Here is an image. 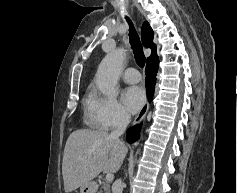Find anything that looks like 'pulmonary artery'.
I'll return each mask as SVG.
<instances>
[{"label":"pulmonary artery","instance_id":"e3ab8cb5","mask_svg":"<svg viewBox=\"0 0 237 193\" xmlns=\"http://www.w3.org/2000/svg\"><path fill=\"white\" fill-rule=\"evenodd\" d=\"M122 78L127 83H137L141 80V74L136 68L129 67L123 73Z\"/></svg>","mask_w":237,"mask_h":193}]
</instances>
